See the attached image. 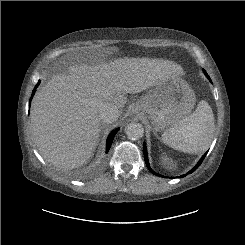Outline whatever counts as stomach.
<instances>
[{"mask_svg": "<svg viewBox=\"0 0 245 245\" xmlns=\"http://www.w3.org/2000/svg\"><path fill=\"white\" fill-rule=\"evenodd\" d=\"M196 97L187 82L178 74L161 78L141 101L155 131L180 124L194 108Z\"/></svg>", "mask_w": 245, "mask_h": 245, "instance_id": "stomach-1", "label": "stomach"}]
</instances>
